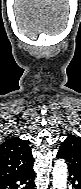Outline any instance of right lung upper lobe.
<instances>
[{"instance_id": "1", "label": "right lung upper lobe", "mask_w": 81, "mask_h": 189, "mask_svg": "<svg viewBox=\"0 0 81 189\" xmlns=\"http://www.w3.org/2000/svg\"><path fill=\"white\" fill-rule=\"evenodd\" d=\"M34 162L28 143L18 137L0 145V180L26 169Z\"/></svg>"}]
</instances>
